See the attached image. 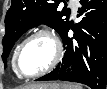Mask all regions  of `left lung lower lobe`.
I'll list each match as a JSON object with an SVG mask.
<instances>
[{
	"mask_svg": "<svg viewBox=\"0 0 107 89\" xmlns=\"http://www.w3.org/2000/svg\"><path fill=\"white\" fill-rule=\"evenodd\" d=\"M83 19L69 38V25L61 34L65 54L61 64L42 80L83 83L92 89H105L107 83V0H81ZM79 16V15H78Z\"/></svg>",
	"mask_w": 107,
	"mask_h": 89,
	"instance_id": "0a47b994",
	"label": "left lung lower lobe"
}]
</instances>
